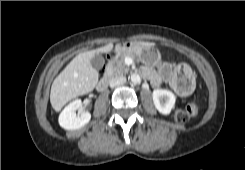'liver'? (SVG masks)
Segmentation results:
<instances>
[{
    "label": "liver",
    "mask_w": 245,
    "mask_h": 170,
    "mask_svg": "<svg viewBox=\"0 0 245 170\" xmlns=\"http://www.w3.org/2000/svg\"><path fill=\"white\" fill-rule=\"evenodd\" d=\"M141 46L152 47L155 43L134 42ZM113 44L79 53L54 79L50 91V103L59 112L70 100L91 92L98 83L99 73L91 66L95 54L108 53Z\"/></svg>",
    "instance_id": "liver-1"
}]
</instances>
